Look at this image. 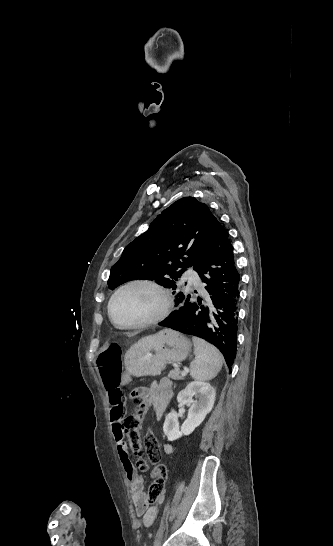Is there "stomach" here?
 I'll return each instance as SVG.
<instances>
[{
	"instance_id": "obj_1",
	"label": "stomach",
	"mask_w": 333,
	"mask_h": 546,
	"mask_svg": "<svg viewBox=\"0 0 333 546\" xmlns=\"http://www.w3.org/2000/svg\"><path fill=\"white\" fill-rule=\"evenodd\" d=\"M191 347L186 336L164 329L133 344L125 354L124 366L133 376H157L168 363L185 360Z\"/></svg>"
}]
</instances>
